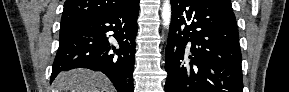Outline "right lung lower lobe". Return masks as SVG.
I'll use <instances>...</instances> for the list:
<instances>
[{"mask_svg": "<svg viewBox=\"0 0 289 92\" xmlns=\"http://www.w3.org/2000/svg\"><path fill=\"white\" fill-rule=\"evenodd\" d=\"M139 0L86 19L59 37L50 82L61 71L88 68L108 76L118 92H133ZM109 35V33H112Z\"/></svg>", "mask_w": 289, "mask_h": 92, "instance_id": "1", "label": "right lung lower lobe"}]
</instances>
